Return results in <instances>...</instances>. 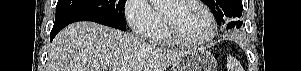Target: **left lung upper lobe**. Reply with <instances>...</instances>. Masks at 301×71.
Masks as SVG:
<instances>
[{"label": "left lung upper lobe", "mask_w": 301, "mask_h": 71, "mask_svg": "<svg viewBox=\"0 0 301 71\" xmlns=\"http://www.w3.org/2000/svg\"><path fill=\"white\" fill-rule=\"evenodd\" d=\"M212 8L218 24H224V19H239L242 15V2L241 0H205Z\"/></svg>", "instance_id": "left-lung-upper-lobe-1"}]
</instances>
